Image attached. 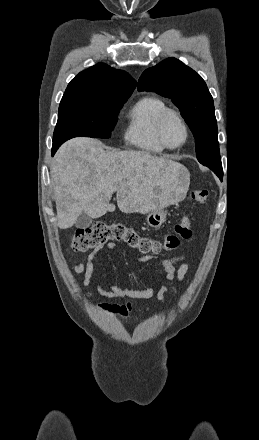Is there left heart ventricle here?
I'll return each instance as SVG.
<instances>
[{"mask_svg":"<svg viewBox=\"0 0 259 440\" xmlns=\"http://www.w3.org/2000/svg\"><path fill=\"white\" fill-rule=\"evenodd\" d=\"M163 135L166 142L171 146L178 145L184 140V129L175 116H170L166 120L163 129Z\"/></svg>","mask_w":259,"mask_h":440,"instance_id":"1","label":"left heart ventricle"}]
</instances>
